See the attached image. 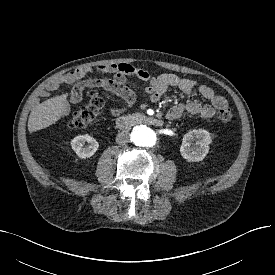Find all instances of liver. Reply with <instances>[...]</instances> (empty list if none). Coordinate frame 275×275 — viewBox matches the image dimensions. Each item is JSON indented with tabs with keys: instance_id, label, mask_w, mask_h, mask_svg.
<instances>
[{
	"instance_id": "liver-1",
	"label": "liver",
	"mask_w": 275,
	"mask_h": 275,
	"mask_svg": "<svg viewBox=\"0 0 275 275\" xmlns=\"http://www.w3.org/2000/svg\"><path fill=\"white\" fill-rule=\"evenodd\" d=\"M68 93L50 98L32 109L28 119L29 132H35L55 124L68 113Z\"/></svg>"
}]
</instances>
